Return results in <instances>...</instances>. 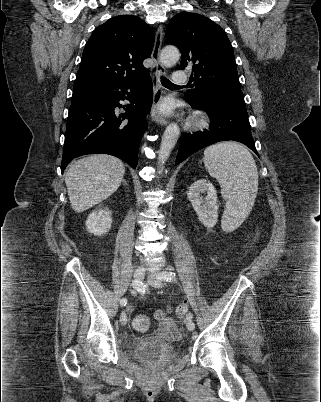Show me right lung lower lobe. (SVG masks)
<instances>
[{
	"label": "right lung lower lobe",
	"mask_w": 321,
	"mask_h": 402,
	"mask_svg": "<svg viewBox=\"0 0 321 402\" xmlns=\"http://www.w3.org/2000/svg\"><path fill=\"white\" fill-rule=\"evenodd\" d=\"M131 104L117 115L119 100ZM150 76L130 83L102 84L72 95L61 163L65 167L84 154L116 156L136 168L141 138L147 130L146 115L152 106Z\"/></svg>",
	"instance_id": "1"
}]
</instances>
